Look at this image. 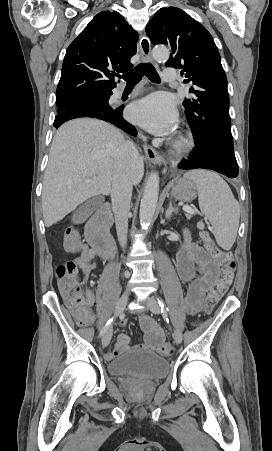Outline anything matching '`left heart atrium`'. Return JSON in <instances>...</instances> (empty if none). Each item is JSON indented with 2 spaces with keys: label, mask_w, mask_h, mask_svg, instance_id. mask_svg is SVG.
<instances>
[{
  "label": "left heart atrium",
  "mask_w": 272,
  "mask_h": 451,
  "mask_svg": "<svg viewBox=\"0 0 272 451\" xmlns=\"http://www.w3.org/2000/svg\"><path fill=\"white\" fill-rule=\"evenodd\" d=\"M128 116L154 134L167 133L177 120L173 102L162 94L134 103L128 110Z\"/></svg>",
  "instance_id": "39dd6f15"
}]
</instances>
